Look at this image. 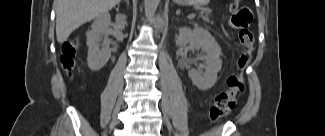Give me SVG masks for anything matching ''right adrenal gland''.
<instances>
[{
    "label": "right adrenal gland",
    "instance_id": "1",
    "mask_svg": "<svg viewBox=\"0 0 325 136\" xmlns=\"http://www.w3.org/2000/svg\"><path fill=\"white\" fill-rule=\"evenodd\" d=\"M126 3H127V5H129V0H124Z\"/></svg>",
    "mask_w": 325,
    "mask_h": 136
}]
</instances>
